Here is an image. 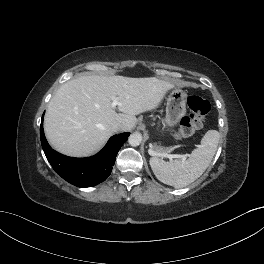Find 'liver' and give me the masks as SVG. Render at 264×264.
I'll use <instances>...</instances> for the list:
<instances>
[{
  "label": "liver",
  "instance_id": "1",
  "mask_svg": "<svg viewBox=\"0 0 264 264\" xmlns=\"http://www.w3.org/2000/svg\"><path fill=\"white\" fill-rule=\"evenodd\" d=\"M173 82L156 77L84 75L64 83L48 104L44 131L51 146L68 156L85 157L99 150L121 123L135 127L138 115L155 109ZM120 103L116 113L112 101Z\"/></svg>",
  "mask_w": 264,
  "mask_h": 264
}]
</instances>
